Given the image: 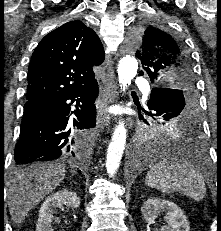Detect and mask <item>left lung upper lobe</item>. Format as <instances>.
<instances>
[{"label":"left lung upper lobe","instance_id":"1","mask_svg":"<svg viewBox=\"0 0 221 231\" xmlns=\"http://www.w3.org/2000/svg\"><path fill=\"white\" fill-rule=\"evenodd\" d=\"M138 46L136 57L141 61L143 69L157 85L166 84L173 91L175 102H166L160 106L150 105L146 112L154 120H167L165 114L178 116L185 103L196 102V88L191 57L184 44L165 28L147 25L134 34ZM139 75H142L141 73Z\"/></svg>","mask_w":221,"mask_h":231}]
</instances>
